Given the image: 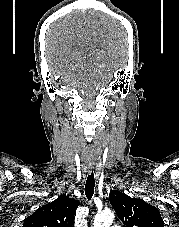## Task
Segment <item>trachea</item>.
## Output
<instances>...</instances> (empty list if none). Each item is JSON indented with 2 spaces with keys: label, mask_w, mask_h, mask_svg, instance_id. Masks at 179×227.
<instances>
[{
  "label": "trachea",
  "mask_w": 179,
  "mask_h": 227,
  "mask_svg": "<svg viewBox=\"0 0 179 227\" xmlns=\"http://www.w3.org/2000/svg\"><path fill=\"white\" fill-rule=\"evenodd\" d=\"M94 187H95V179H94V173L93 171L88 175L86 184H85V195L88 198V200H91L93 193H94Z\"/></svg>",
  "instance_id": "1"
}]
</instances>
